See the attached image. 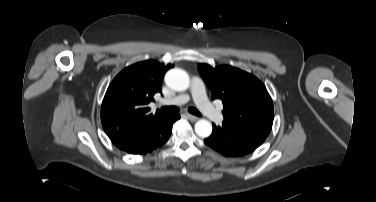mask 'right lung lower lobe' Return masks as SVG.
<instances>
[{
  "instance_id": "1",
  "label": "right lung lower lobe",
  "mask_w": 376,
  "mask_h": 202,
  "mask_svg": "<svg viewBox=\"0 0 376 202\" xmlns=\"http://www.w3.org/2000/svg\"><path fill=\"white\" fill-rule=\"evenodd\" d=\"M178 119L179 114H167L114 144L131 154H146L167 142Z\"/></svg>"
}]
</instances>
